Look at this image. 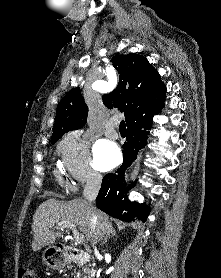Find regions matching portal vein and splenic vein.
<instances>
[{
    "mask_svg": "<svg viewBox=\"0 0 221 278\" xmlns=\"http://www.w3.org/2000/svg\"><path fill=\"white\" fill-rule=\"evenodd\" d=\"M56 228L63 229V228H69L73 232V237L76 243H83L84 242V236L78 232L75 225L69 221H63L59 223Z\"/></svg>",
    "mask_w": 221,
    "mask_h": 278,
    "instance_id": "obj_1",
    "label": "portal vein and splenic vein"
}]
</instances>
